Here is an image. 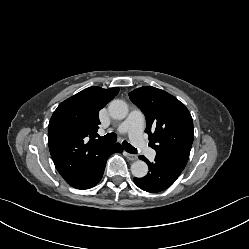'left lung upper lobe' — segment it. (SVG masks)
<instances>
[{
  "instance_id": "left-lung-upper-lobe-1",
  "label": "left lung upper lobe",
  "mask_w": 249,
  "mask_h": 249,
  "mask_svg": "<svg viewBox=\"0 0 249 249\" xmlns=\"http://www.w3.org/2000/svg\"><path fill=\"white\" fill-rule=\"evenodd\" d=\"M131 101L146 117L145 132L156 151L155 160L183 170L193 143V120L177 98L151 86L129 93Z\"/></svg>"
}]
</instances>
